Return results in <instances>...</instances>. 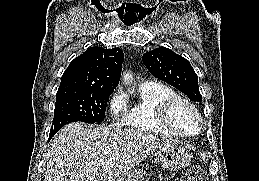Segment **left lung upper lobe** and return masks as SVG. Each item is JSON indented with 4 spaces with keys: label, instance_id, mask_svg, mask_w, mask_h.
<instances>
[{
    "label": "left lung upper lobe",
    "instance_id": "obj_1",
    "mask_svg": "<svg viewBox=\"0 0 259 181\" xmlns=\"http://www.w3.org/2000/svg\"><path fill=\"white\" fill-rule=\"evenodd\" d=\"M150 73L187 95L194 102H201L198 76L187 59L170 49L159 47L142 57Z\"/></svg>",
    "mask_w": 259,
    "mask_h": 181
}]
</instances>
